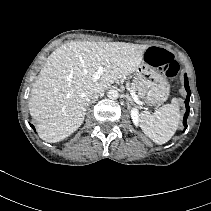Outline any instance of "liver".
Wrapping results in <instances>:
<instances>
[{"label":"liver","instance_id":"obj_1","mask_svg":"<svg viewBox=\"0 0 211 211\" xmlns=\"http://www.w3.org/2000/svg\"><path fill=\"white\" fill-rule=\"evenodd\" d=\"M148 45L71 41L55 51L40 70L30 94V115L39 137L60 142L83 123L91 96L137 70ZM104 68L99 81L93 74Z\"/></svg>","mask_w":211,"mask_h":211}]
</instances>
